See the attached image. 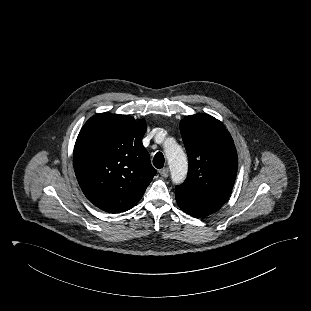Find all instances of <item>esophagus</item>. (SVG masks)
Returning a JSON list of instances; mask_svg holds the SVG:
<instances>
[{
	"label": "esophagus",
	"instance_id": "obj_1",
	"mask_svg": "<svg viewBox=\"0 0 311 311\" xmlns=\"http://www.w3.org/2000/svg\"><path fill=\"white\" fill-rule=\"evenodd\" d=\"M159 174L162 176V177H168L169 175V169L168 168H163L159 171Z\"/></svg>",
	"mask_w": 311,
	"mask_h": 311
}]
</instances>
